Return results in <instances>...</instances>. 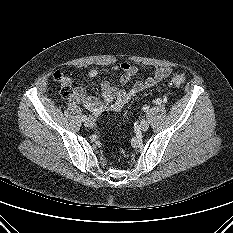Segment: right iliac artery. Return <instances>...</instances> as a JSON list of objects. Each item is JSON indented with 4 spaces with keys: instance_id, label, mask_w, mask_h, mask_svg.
<instances>
[{
    "instance_id": "82829eb1",
    "label": "right iliac artery",
    "mask_w": 233,
    "mask_h": 233,
    "mask_svg": "<svg viewBox=\"0 0 233 233\" xmlns=\"http://www.w3.org/2000/svg\"><path fill=\"white\" fill-rule=\"evenodd\" d=\"M81 119H82V121H86V120H87V116L83 115V116L81 117Z\"/></svg>"
}]
</instances>
